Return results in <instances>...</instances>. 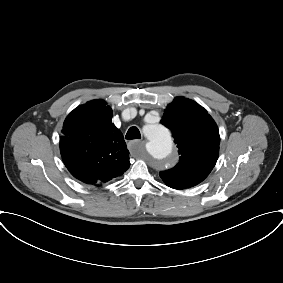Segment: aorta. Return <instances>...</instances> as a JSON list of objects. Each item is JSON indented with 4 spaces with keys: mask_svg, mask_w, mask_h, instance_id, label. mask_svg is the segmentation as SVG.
<instances>
[{
    "mask_svg": "<svg viewBox=\"0 0 283 283\" xmlns=\"http://www.w3.org/2000/svg\"><path fill=\"white\" fill-rule=\"evenodd\" d=\"M147 137L146 150L148 154L165 167L172 152V139L169 131L160 124H152L145 129Z\"/></svg>",
    "mask_w": 283,
    "mask_h": 283,
    "instance_id": "762f6f07",
    "label": "aorta"
}]
</instances>
